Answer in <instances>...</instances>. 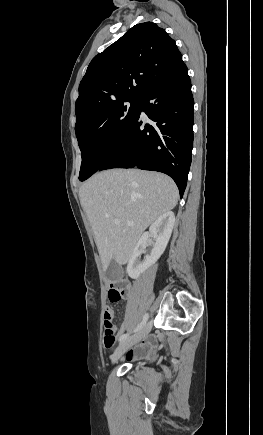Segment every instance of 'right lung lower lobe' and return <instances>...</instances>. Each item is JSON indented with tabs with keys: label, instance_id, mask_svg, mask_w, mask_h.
<instances>
[{
	"label": "right lung lower lobe",
	"instance_id": "obj_1",
	"mask_svg": "<svg viewBox=\"0 0 263 435\" xmlns=\"http://www.w3.org/2000/svg\"><path fill=\"white\" fill-rule=\"evenodd\" d=\"M141 112L148 117L146 123ZM193 123L191 81L183 63L140 99L133 125L98 171L138 167L163 172L173 178L182 197L191 164Z\"/></svg>",
	"mask_w": 263,
	"mask_h": 435
}]
</instances>
